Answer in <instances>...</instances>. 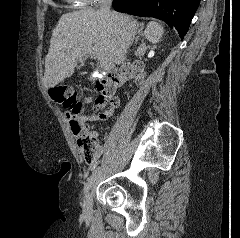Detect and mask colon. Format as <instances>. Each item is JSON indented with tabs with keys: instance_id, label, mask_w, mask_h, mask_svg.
Segmentation results:
<instances>
[{
	"instance_id": "1",
	"label": "colon",
	"mask_w": 240,
	"mask_h": 238,
	"mask_svg": "<svg viewBox=\"0 0 240 238\" xmlns=\"http://www.w3.org/2000/svg\"><path fill=\"white\" fill-rule=\"evenodd\" d=\"M144 74L145 71L141 64H132L127 68L110 72L105 79L97 83L96 105L99 108L111 106L117 90L126 81H140L144 78ZM49 95L55 102L72 109V118L69 119L71 131L77 138L81 156L86 162L92 163L98 156V142L94 132L77 118L83 104L77 100L76 88L70 84H59L49 89Z\"/></svg>"
}]
</instances>
